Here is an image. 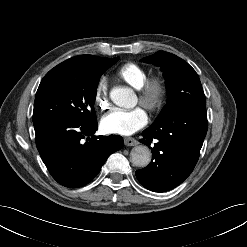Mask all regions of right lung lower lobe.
<instances>
[{"label": "right lung lower lobe", "instance_id": "1", "mask_svg": "<svg viewBox=\"0 0 247 247\" xmlns=\"http://www.w3.org/2000/svg\"><path fill=\"white\" fill-rule=\"evenodd\" d=\"M34 129L36 146L48 171L69 188L92 181L107 158L124 145L121 136H95L97 121H44Z\"/></svg>", "mask_w": 247, "mask_h": 247}]
</instances>
